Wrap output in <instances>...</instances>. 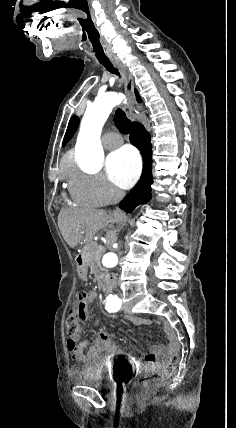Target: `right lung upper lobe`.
<instances>
[{"label": "right lung upper lobe", "instance_id": "obj_1", "mask_svg": "<svg viewBox=\"0 0 236 428\" xmlns=\"http://www.w3.org/2000/svg\"><path fill=\"white\" fill-rule=\"evenodd\" d=\"M136 95H137V100L140 101V97L138 96L137 91H136Z\"/></svg>", "mask_w": 236, "mask_h": 428}]
</instances>
